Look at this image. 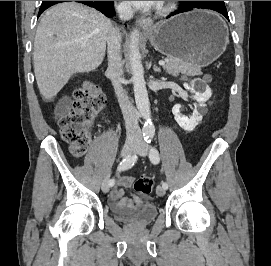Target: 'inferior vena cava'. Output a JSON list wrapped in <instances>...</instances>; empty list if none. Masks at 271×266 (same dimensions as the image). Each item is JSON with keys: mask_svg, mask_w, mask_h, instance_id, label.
<instances>
[{"mask_svg": "<svg viewBox=\"0 0 271 266\" xmlns=\"http://www.w3.org/2000/svg\"><path fill=\"white\" fill-rule=\"evenodd\" d=\"M119 18L123 21L130 20L133 17V10L127 4H119L116 7ZM121 34L117 28H114L107 42L108 50V73L118 102L125 120L126 135L128 141H141L142 135L138 124V116L135 108L128 99L126 92L122 88L123 68L121 56Z\"/></svg>", "mask_w": 271, "mask_h": 266, "instance_id": "inferior-vena-cava-1", "label": "inferior vena cava"}]
</instances>
